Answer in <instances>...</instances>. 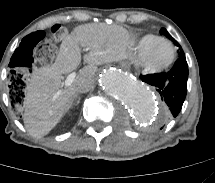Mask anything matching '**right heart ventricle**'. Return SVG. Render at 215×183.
Segmentation results:
<instances>
[{"instance_id": "obj_1", "label": "right heart ventricle", "mask_w": 215, "mask_h": 183, "mask_svg": "<svg viewBox=\"0 0 215 183\" xmlns=\"http://www.w3.org/2000/svg\"><path fill=\"white\" fill-rule=\"evenodd\" d=\"M161 39L160 36L154 34H146L142 36L136 43L135 56L140 59L146 51Z\"/></svg>"}]
</instances>
